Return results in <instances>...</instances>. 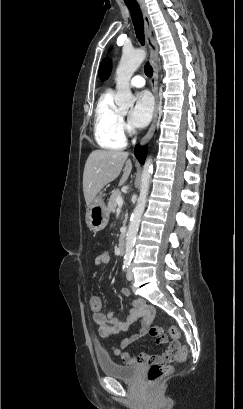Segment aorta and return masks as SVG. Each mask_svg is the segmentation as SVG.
<instances>
[{
    "label": "aorta",
    "mask_w": 243,
    "mask_h": 409,
    "mask_svg": "<svg viewBox=\"0 0 243 409\" xmlns=\"http://www.w3.org/2000/svg\"><path fill=\"white\" fill-rule=\"evenodd\" d=\"M146 52L142 49L123 51L121 60L116 70V95L115 103L120 109L133 107L135 98L130 89V79L136 69L145 59ZM153 172L152 159L148 158L143 166L141 175L140 194L137 205L131 215L125 246V258L131 259L134 254V244L138 232L141 216L144 212L147 195L149 192L150 179Z\"/></svg>",
    "instance_id": "762f6f07"
}]
</instances>
